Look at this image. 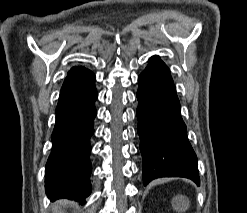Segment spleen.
Segmentation results:
<instances>
[{
  "label": "spleen",
  "mask_w": 247,
  "mask_h": 213,
  "mask_svg": "<svg viewBox=\"0 0 247 213\" xmlns=\"http://www.w3.org/2000/svg\"><path fill=\"white\" fill-rule=\"evenodd\" d=\"M175 206L177 210H186L188 206V202H186V200L181 198L179 200V203H177Z\"/></svg>",
  "instance_id": "3e777b00"
}]
</instances>
